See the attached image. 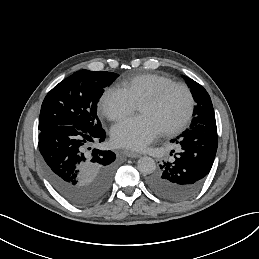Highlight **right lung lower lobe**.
<instances>
[{"label": "right lung lower lobe", "instance_id": "obj_1", "mask_svg": "<svg viewBox=\"0 0 259 259\" xmlns=\"http://www.w3.org/2000/svg\"><path fill=\"white\" fill-rule=\"evenodd\" d=\"M105 138L103 128L83 132L66 125L40 132L38 145L45 161V174L54 189L70 203L90 206L109 191L116 155L96 147Z\"/></svg>", "mask_w": 259, "mask_h": 259}]
</instances>
